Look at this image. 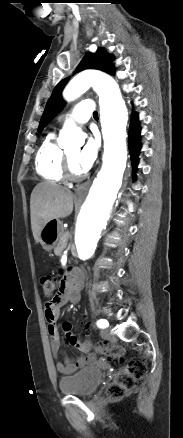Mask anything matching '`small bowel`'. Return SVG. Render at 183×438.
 Instances as JSON below:
<instances>
[{
  "label": "small bowel",
  "mask_w": 183,
  "mask_h": 438,
  "mask_svg": "<svg viewBox=\"0 0 183 438\" xmlns=\"http://www.w3.org/2000/svg\"><path fill=\"white\" fill-rule=\"evenodd\" d=\"M85 274L80 269H71L62 282L58 294L45 305V318L48 323V333L51 339L52 353L55 357L63 355L61 349L60 335L58 331V320L61 315V308L71 299L74 298L75 282H83ZM65 341L72 347L76 348L84 355L76 360L64 357L63 361H57L56 368L63 375H71L77 370L95 361V356L90 351V344L80 342L71 331V324L64 322L62 324Z\"/></svg>",
  "instance_id": "obj_1"
}]
</instances>
